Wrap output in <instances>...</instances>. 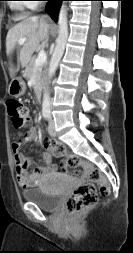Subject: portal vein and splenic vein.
Instances as JSON below:
<instances>
[{
	"instance_id": "1",
	"label": "portal vein and splenic vein",
	"mask_w": 133,
	"mask_h": 253,
	"mask_svg": "<svg viewBox=\"0 0 133 253\" xmlns=\"http://www.w3.org/2000/svg\"><path fill=\"white\" fill-rule=\"evenodd\" d=\"M26 41V38H22V39H19L18 43L20 45L24 44V42ZM46 59H47V55L45 53V51H40L39 54H38V57L35 61V67H38L42 64H44L46 62Z\"/></svg>"
}]
</instances>
